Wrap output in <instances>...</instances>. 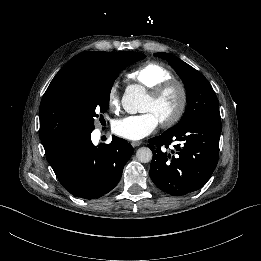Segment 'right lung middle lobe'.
I'll return each mask as SVG.
<instances>
[{
  "mask_svg": "<svg viewBox=\"0 0 261 261\" xmlns=\"http://www.w3.org/2000/svg\"><path fill=\"white\" fill-rule=\"evenodd\" d=\"M145 58L138 52H123L113 64L82 76L76 88V96L81 112V127L78 135L91 134L94 129V118L98 113H105L109 108V97L112 85L118 73L132 63ZM45 153L53 150L61 141L50 133H40Z\"/></svg>",
  "mask_w": 261,
  "mask_h": 261,
  "instance_id": "obj_1",
  "label": "right lung middle lobe"
}]
</instances>
